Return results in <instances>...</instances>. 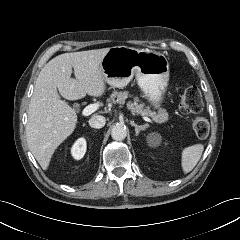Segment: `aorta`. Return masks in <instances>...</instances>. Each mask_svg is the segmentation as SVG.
<instances>
[{
    "instance_id": "762f6f07",
    "label": "aorta",
    "mask_w": 240,
    "mask_h": 240,
    "mask_svg": "<svg viewBox=\"0 0 240 240\" xmlns=\"http://www.w3.org/2000/svg\"><path fill=\"white\" fill-rule=\"evenodd\" d=\"M127 130L123 125H115L111 129V136L116 141H122L126 138Z\"/></svg>"
}]
</instances>
